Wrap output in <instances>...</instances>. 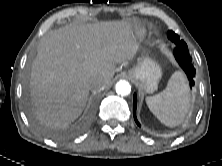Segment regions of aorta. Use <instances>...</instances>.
<instances>
[{
  "instance_id": "obj_1",
  "label": "aorta",
  "mask_w": 222,
  "mask_h": 166,
  "mask_svg": "<svg viewBox=\"0 0 222 166\" xmlns=\"http://www.w3.org/2000/svg\"><path fill=\"white\" fill-rule=\"evenodd\" d=\"M116 92L119 95L126 96L131 92V85L125 80H121L116 84Z\"/></svg>"
}]
</instances>
